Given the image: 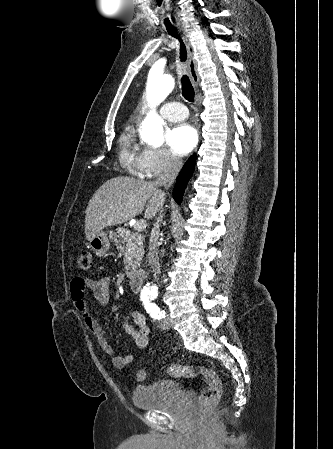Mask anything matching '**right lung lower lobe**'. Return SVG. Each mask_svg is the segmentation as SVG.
<instances>
[{
    "mask_svg": "<svg viewBox=\"0 0 333 449\" xmlns=\"http://www.w3.org/2000/svg\"><path fill=\"white\" fill-rule=\"evenodd\" d=\"M196 164V155H192L189 157L188 161L183 166L182 170L179 173L177 178L174 190H173V198L175 201L180 204L183 197V192L186 188V185L191 178Z\"/></svg>",
    "mask_w": 333,
    "mask_h": 449,
    "instance_id": "obj_1",
    "label": "right lung lower lobe"
}]
</instances>
